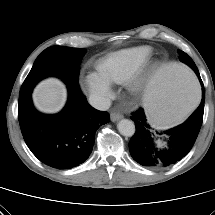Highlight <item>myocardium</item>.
<instances>
[{"mask_svg":"<svg viewBox=\"0 0 215 215\" xmlns=\"http://www.w3.org/2000/svg\"><path fill=\"white\" fill-rule=\"evenodd\" d=\"M148 73L149 71L146 69H139L136 72H134L126 80V86L128 90L133 94L140 93L146 84Z\"/></svg>","mask_w":215,"mask_h":215,"instance_id":"f54148a6","label":"myocardium"}]
</instances>
